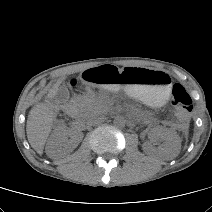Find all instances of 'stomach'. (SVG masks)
<instances>
[{"label": "stomach", "mask_w": 212, "mask_h": 212, "mask_svg": "<svg viewBox=\"0 0 212 212\" xmlns=\"http://www.w3.org/2000/svg\"><path fill=\"white\" fill-rule=\"evenodd\" d=\"M81 80L86 85L98 83L125 92L156 107L165 104L171 89V79L165 72L109 63L84 71Z\"/></svg>", "instance_id": "stomach-1"}]
</instances>
